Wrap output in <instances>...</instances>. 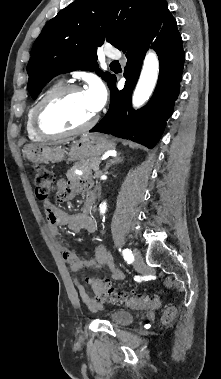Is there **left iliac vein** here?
I'll return each instance as SVG.
<instances>
[{"instance_id": "1", "label": "left iliac vein", "mask_w": 221, "mask_h": 379, "mask_svg": "<svg viewBox=\"0 0 221 379\" xmlns=\"http://www.w3.org/2000/svg\"><path fill=\"white\" fill-rule=\"evenodd\" d=\"M133 255H134L133 265L135 269H137L138 271H142L144 269V261L140 252L137 249H133Z\"/></svg>"}]
</instances>
